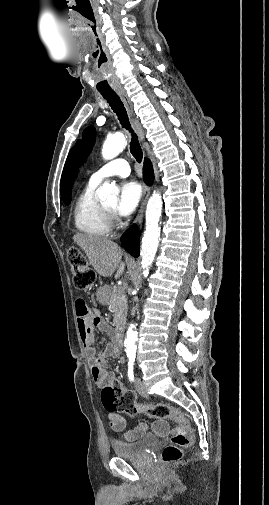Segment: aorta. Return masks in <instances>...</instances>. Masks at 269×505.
<instances>
[{
    "instance_id": "obj_1",
    "label": "aorta",
    "mask_w": 269,
    "mask_h": 505,
    "mask_svg": "<svg viewBox=\"0 0 269 505\" xmlns=\"http://www.w3.org/2000/svg\"><path fill=\"white\" fill-rule=\"evenodd\" d=\"M127 140L123 133L117 132L108 136L102 147V156L105 160L115 158L126 146ZM119 194V189L109 182H104L98 189L97 196L102 202H115ZM162 196L159 191H155L149 198L146 207V227L141 245V266L145 277L149 274V269L154 261L160 236L159 221L162 213ZM137 332L135 325L131 324L127 330L125 339V350L134 352L136 350Z\"/></svg>"
}]
</instances>
